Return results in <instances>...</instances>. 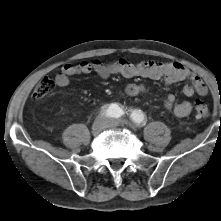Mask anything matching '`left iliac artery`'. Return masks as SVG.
I'll return each instance as SVG.
<instances>
[{
    "label": "left iliac artery",
    "instance_id": "1",
    "mask_svg": "<svg viewBox=\"0 0 221 221\" xmlns=\"http://www.w3.org/2000/svg\"><path fill=\"white\" fill-rule=\"evenodd\" d=\"M131 119L140 126L146 123V117L141 110H134L130 115Z\"/></svg>",
    "mask_w": 221,
    "mask_h": 221
}]
</instances>
